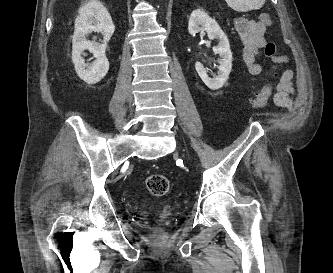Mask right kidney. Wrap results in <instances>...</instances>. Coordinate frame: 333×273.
I'll use <instances>...</instances> for the list:
<instances>
[{"label": "right kidney", "mask_w": 333, "mask_h": 273, "mask_svg": "<svg viewBox=\"0 0 333 273\" xmlns=\"http://www.w3.org/2000/svg\"><path fill=\"white\" fill-rule=\"evenodd\" d=\"M114 30L111 16L100 1L90 0L79 9L72 39V61L78 76L88 84L99 82L109 70L105 50ZM92 32L102 34V43L87 39ZM85 50L96 58L93 63H85Z\"/></svg>", "instance_id": "obj_1"}]
</instances>
